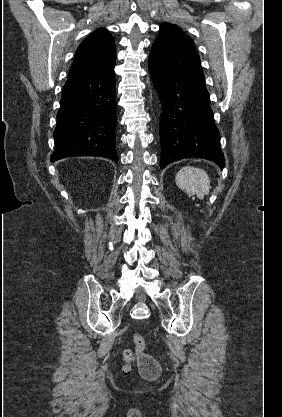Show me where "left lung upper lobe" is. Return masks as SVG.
<instances>
[{"label": "left lung upper lobe", "instance_id": "obj_1", "mask_svg": "<svg viewBox=\"0 0 282 417\" xmlns=\"http://www.w3.org/2000/svg\"><path fill=\"white\" fill-rule=\"evenodd\" d=\"M154 44L178 45L195 49V44L188 35L183 33L178 26L166 22L160 25V32Z\"/></svg>", "mask_w": 282, "mask_h": 417}]
</instances>
